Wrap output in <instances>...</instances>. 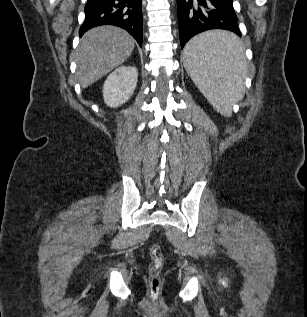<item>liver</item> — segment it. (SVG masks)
<instances>
[{
    "label": "liver",
    "mask_w": 307,
    "mask_h": 317,
    "mask_svg": "<svg viewBox=\"0 0 307 317\" xmlns=\"http://www.w3.org/2000/svg\"><path fill=\"white\" fill-rule=\"evenodd\" d=\"M134 45L133 37L118 27L105 25L86 32L76 50V76L82 88L121 65L131 55Z\"/></svg>",
    "instance_id": "obj_1"
}]
</instances>
